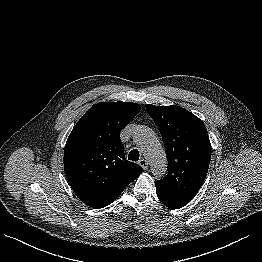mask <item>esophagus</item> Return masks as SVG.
Here are the masks:
<instances>
[{"mask_svg": "<svg viewBox=\"0 0 262 262\" xmlns=\"http://www.w3.org/2000/svg\"><path fill=\"white\" fill-rule=\"evenodd\" d=\"M138 164L144 169H148V162L145 159H140Z\"/></svg>", "mask_w": 262, "mask_h": 262, "instance_id": "34e87169", "label": "esophagus"}]
</instances>
